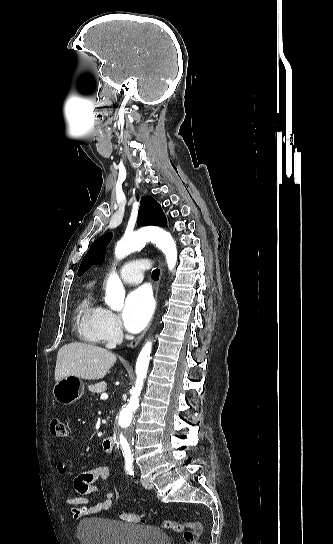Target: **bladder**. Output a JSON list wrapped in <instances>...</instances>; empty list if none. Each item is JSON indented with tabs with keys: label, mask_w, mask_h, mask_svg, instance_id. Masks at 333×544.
<instances>
[{
	"label": "bladder",
	"mask_w": 333,
	"mask_h": 544,
	"mask_svg": "<svg viewBox=\"0 0 333 544\" xmlns=\"http://www.w3.org/2000/svg\"><path fill=\"white\" fill-rule=\"evenodd\" d=\"M76 534L81 544H170L168 535L158 527L99 517L81 520Z\"/></svg>",
	"instance_id": "bladder-1"
}]
</instances>
